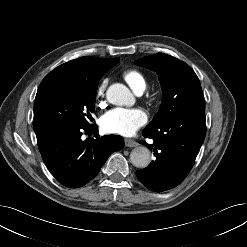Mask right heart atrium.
<instances>
[{
  "instance_id": "d8ad5b80",
  "label": "right heart atrium",
  "mask_w": 247,
  "mask_h": 247,
  "mask_svg": "<svg viewBox=\"0 0 247 247\" xmlns=\"http://www.w3.org/2000/svg\"><path fill=\"white\" fill-rule=\"evenodd\" d=\"M105 88H106V81H103V82L98 86V89H97V97H98L100 103H102L101 99H102L103 96H104Z\"/></svg>"
}]
</instances>
